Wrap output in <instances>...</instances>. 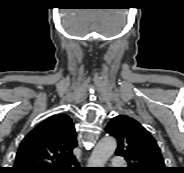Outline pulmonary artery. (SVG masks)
<instances>
[{
	"label": "pulmonary artery",
	"mask_w": 184,
	"mask_h": 173,
	"mask_svg": "<svg viewBox=\"0 0 184 173\" xmlns=\"http://www.w3.org/2000/svg\"><path fill=\"white\" fill-rule=\"evenodd\" d=\"M111 164L113 165V166H115V167H123V165H124V161H123V159L121 158V157H114L113 159H112V162H111Z\"/></svg>",
	"instance_id": "1"
}]
</instances>
